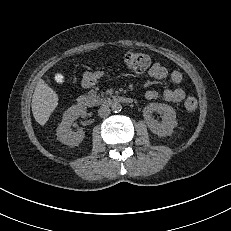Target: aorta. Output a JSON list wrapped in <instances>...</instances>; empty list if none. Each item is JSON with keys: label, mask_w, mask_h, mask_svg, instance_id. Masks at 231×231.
<instances>
[{"label": "aorta", "mask_w": 231, "mask_h": 231, "mask_svg": "<svg viewBox=\"0 0 231 231\" xmlns=\"http://www.w3.org/2000/svg\"><path fill=\"white\" fill-rule=\"evenodd\" d=\"M111 107L112 111L115 113L120 112L122 110V105L118 101L113 102Z\"/></svg>", "instance_id": "1"}]
</instances>
